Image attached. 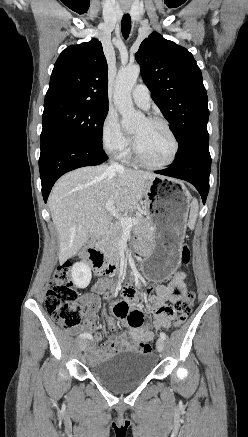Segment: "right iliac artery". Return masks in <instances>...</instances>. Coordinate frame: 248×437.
<instances>
[{"label": "right iliac artery", "instance_id": "82829eb1", "mask_svg": "<svg viewBox=\"0 0 248 437\" xmlns=\"http://www.w3.org/2000/svg\"><path fill=\"white\" fill-rule=\"evenodd\" d=\"M80 338H87V339H92V335H90L89 333H81L79 335Z\"/></svg>", "mask_w": 248, "mask_h": 437}]
</instances>
